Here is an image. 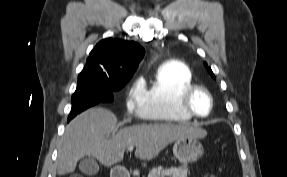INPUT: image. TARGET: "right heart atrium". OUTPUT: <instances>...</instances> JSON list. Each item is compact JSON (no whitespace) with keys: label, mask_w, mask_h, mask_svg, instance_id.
<instances>
[{"label":"right heart atrium","mask_w":287,"mask_h":177,"mask_svg":"<svg viewBox=\"0 0 287 177\" xmlns=\"http://www.w3.org/2000/svg\"><path fill=\"white\" fill-rule=\"evenodd\" d=\"M146 93V86L143 79L138 78L130 85L126 95V106L131 111L140 114V108Z\"/></svg>","instance_id":"obj_1"}]
</instances>
